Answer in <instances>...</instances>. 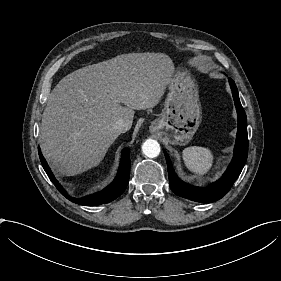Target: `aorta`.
Listing matches in <instances>:
<instances>
[{"label": "aorta", "instance_id": "762f6f07", "mask_svg": "<svg viewBox=\"0 0 281 281\" xmlns=\"http://www.w3.org/2000/svg\"><path fill=\"white\" fill-rule=\"evenodd\" d=\"M142 151L145 156L155 158L159 155L161 148L156 140L147 139L142 145Z\"/></svg>", "mask_w": 281, "mask_h": 281}]
</instances>
